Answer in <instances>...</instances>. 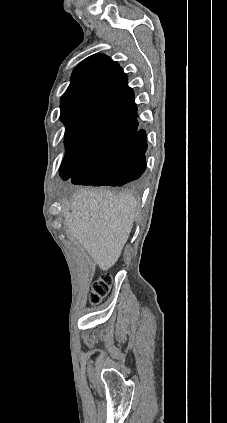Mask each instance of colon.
<instances>
[{
	"instance_id": "colon-1",
	"label": "colon",
	"mask_w": 227,
	"mask_h": 423,
	"mask_svg": "<svg viewBox=\"0 0 227 423\" xmlns=\"http://www.w3.org/2000/svg\"><path fill=\"white\" fill-rule=\"evenodd\" d=\"M111 287V277L109 275H104L98 280H96L93 285L89 295V300L93 304L99 303L103 298H105L110 292Z\"/></svg>"
}]
</instances>
